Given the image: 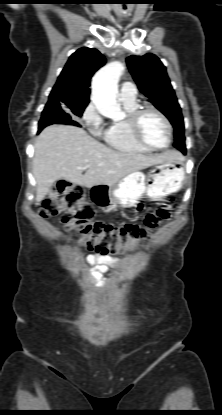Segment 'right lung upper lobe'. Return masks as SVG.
<instances>
[{"label":"right lung upper lobe","mask_w":222,"mask_h":415,"mask_svg":"<svg viewBox=\"0 0 222 415\" xmlns=\"http://www.w3.org/2000/svg\"><path fill=\"white\" fill-rule=\"evenodd\" d=\"M105 62L104 56L97 49L87 47L78 49L70 56L59 75L49 95L48 103L88 104L91 78Z\"/></svg>","instance_id":"1"}]
</instances>
